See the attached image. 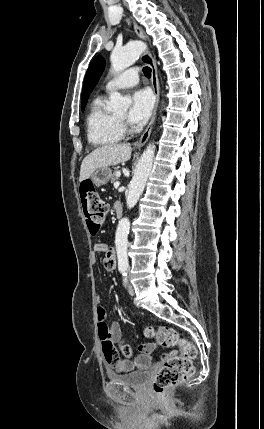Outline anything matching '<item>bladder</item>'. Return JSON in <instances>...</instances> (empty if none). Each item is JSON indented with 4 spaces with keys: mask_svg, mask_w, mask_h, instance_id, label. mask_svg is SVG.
<instances>
[{
    "mask_svg": "<svg viewBox=\"0 0 264 429\" xmlns=\"http://www.w3.org/2000/svg\"><path fill=\"white\" fill-rule=\"evenodd\" d=\"M151 374V370H143L128 374L108 373L107 377L113 382L120 383L132 388H140L148 382Z\"/></svg>",
    "mask_w": 264,
    "mask_h": 429,
    "instance_id": "bladder-1",
    "label": "bladder"
}]
</instances>
